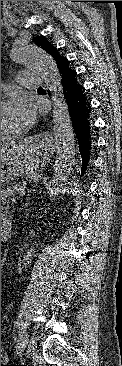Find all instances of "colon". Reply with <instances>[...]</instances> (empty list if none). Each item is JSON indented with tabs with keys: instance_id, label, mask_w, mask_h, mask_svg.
I'll use <instances>...</instances> for the list:
<instances>
[{
	"instance_id": "1",
	"label": "colon",
	"mask_w": 122,
	"mask_h": 366,
	"mask_svg": "<svg viewBox=\"0 0 122 366\" xmlns=\"http://www.w3.org/2000/svg\"><path fill=\"white\" fill-rule=\"evenodd\" d=\"M3 230H4V227L1 225V233H2Z\"/></svg>"
}]
</instances>
